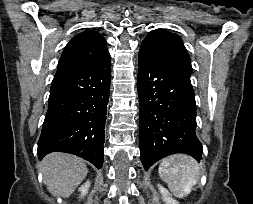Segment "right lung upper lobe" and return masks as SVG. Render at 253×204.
<instances>
[{"instance_id": "right-lung-upper-lobe-1", "label": "right lung upper lobe", "mask_w": 253, "mask_h": 204, "mask_svg": "<svg viewBox=\"0 0 253 204\" xmlns=\"http://www.w3.org/2000/svg\"><path fill=\"white\" fill-rule=\"evenodd\" d=\"M106 53V40L98 32L86 30L77 34L64 48L55 76L91 63Z\"/></svg>"}]
</instances>
